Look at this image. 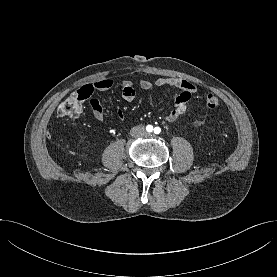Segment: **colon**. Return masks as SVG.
<instances>
[{
	"mask_svg": "<svg viewBox=\"0 0 277 277\" xmlns=\"http://www.w3.org/2000/svg\"><path fill=\"white\" fill-rule=\"evenodd\" d=\"M90 97L87 90H78L66 98L58 107V114L63 117L76 118L80 116L84 109V102ZM205 103L208 108L214 109L219 105V99L216 95L209 93L205 97Z\"/></svg>",
	"mask_w": 277,
	"mask_h": 277,
	"instance_id": "colon-1",
	"label": "colon"
}]
</instances>
